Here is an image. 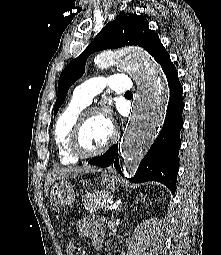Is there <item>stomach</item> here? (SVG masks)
Here are the masks:
<instances>
[{
  "label": "stomach",
  "instance_id": "stomach-1",
  "mask_svg": "<svg viewBox=\"0 0 221 255\" xmlns=\"http://www.w3.org/2000/svg\"><path fill=\"white\" fill-rule=\"evenodd\" d=\"M100 181L108 192L119 190L123 186V182L110 172L102 174ZM49 202L58 209L72 206L75 202V192L71 183L67 180L53 183L49 193Z\"/></svg>",
  "mask_w": 221,
  "mask_h": 255
}]
</instances>
